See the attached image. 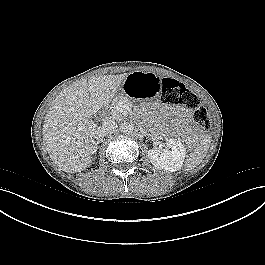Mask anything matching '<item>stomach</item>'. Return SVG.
Listing matches in <instances>:
<instances>
[{"label": "stomach", "mask_w": 265, "mask_h": 265, "mask_svg": "<svg viewBox=\"0 0 265 265\" xmlns=\"http://www.w3.org/2000/svg\"><path fill=\"white\" fill-rule=\"evenodd\" d=\"M160 78L152 73L134 72L122 84L121 92L132 105L147 109L156 104L160 96Z\"/></svg>", "instance_id": "obj_1"}]
</instances>
